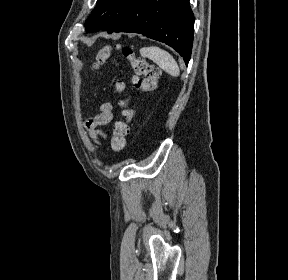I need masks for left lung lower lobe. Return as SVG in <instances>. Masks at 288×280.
<instances>
[{"label": "left lung lower lobe", "instance_id": "left-lung-lower-lobe-1", "mask_svg": "<svg viewBox=\"0 0 288 280\" xmlns=\"http://www.w3.org/2000/svg\"><path fill=\"white\" fill-rule=\"evenodd\" d=\"M113 32H132L175 49L185 64L191 57L194 15L189 0H139Z\"/></svg>", "mask_w": 288, "mask_h": 280}]
</instances>
